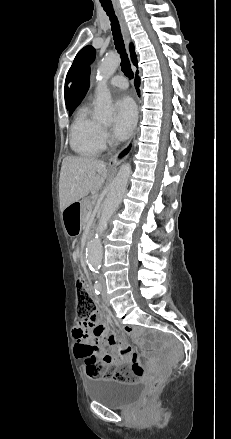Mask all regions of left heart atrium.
I'll list each match as a JSON object with an SVG mask.
<instances>
[{
    "instance_id": "1",
    "label": "left heart atrium",
    "mask_w": 231,
    "mask_h": 439,
    "mask_svg": "<svg viewBox=\"0 0 231 439\" xmlns=\"http://www.w3.org/2000/svg\"><path fill=\"white\" fill-rule=\"evenodd\" d=\"M136 118V108L132 100L128 97L120 98L115 103L114 136L120 140L127 138L135 126Z\"/></svg>"
}]
</instances>
